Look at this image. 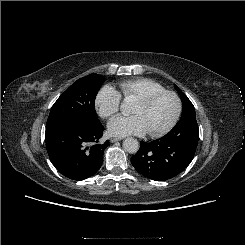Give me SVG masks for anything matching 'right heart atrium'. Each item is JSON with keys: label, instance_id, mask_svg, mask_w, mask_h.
Here are the masks:
<instances>
[{"label": "right heart atrium", "instance_id": "right-heart-atrium-1", "mask_svg": "<svg viewBox=\"0 0 245 245\" xmlns=\"http://www.w3.org/2000/svg\"><path fill=\"white\" fill-rule=\"evenodd\" d=\"M120 94L110 86H103L96 94L95 108L100 117L109 119L114 116L120 108Z\"/></svg>", "mask_w": 245, "mask_h": 245}]
</instances>
